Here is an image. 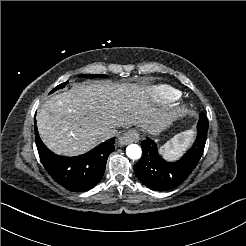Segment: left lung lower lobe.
I'll list each match as a JSON object with an SVG mask.
<instances>
[{
    "label": "left lung lower lobe",
    "mask_w": 246,
    "mask_h": 246,
    "mask_svg": "<svg viewBox=\"0 0 246 246\" xmlns=\"http://www.w3.org/2000/svg\"><path fill=\"white\" fill-rule=\"evenodd\" d=\"M209 122L200 114L197 124V138L193 146L176 162L165 161L158 152L156 143L147 138L141 142L143 155L134 165L137 178L148 188L166 191L183 183L197 166L206 143Z\"/></svg>",
    "instance_id": "0a47b994"
}]
</instances>
